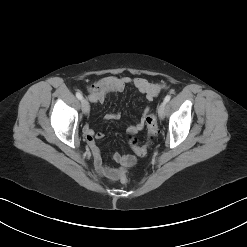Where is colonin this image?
<instances>
[{"label":"colon","mask_w":247,"mask_h":247,"mask_svg":"<svg viewBox=\"0 0 247 247\" xmlns=\"http://www.w3.org/2000/svg\"><path fill=\"white\" fill-rule=\"evenodd\" d=\"M145 124L147 128L148 136H147V142L144 145H138L137 140L134 138L132 134H130L128 137V141L131 148L138 156H144L147 153L148 148L158 131L157 120L154 114H148L145 117ZM118 175L122 183H126L128 181L127 168L125 166H121L118 169Z\"/></svg>","instance_id":"1"}]
</instances>
